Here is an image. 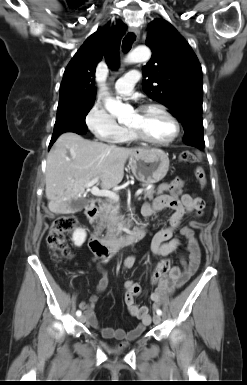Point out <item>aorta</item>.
<instances>
[{
    "instance_id": "obj_1",
    "label": "aorta",
    "mask_w": 247,
    "mask_h": 385,
    "mask_svg": "<svg viewBox=\"0 0 247 385\" xmlns=\"http://www.w3.org/2000/svg\"><path fill=\"white\" fill-rule=\"evenodd\" d=\"M151 57V51L148 47H137L126 58L128 63H137L148 61ZM105 108L112 115L123 118L126 114L131 112V107L113 98L105 100Z\"/></svg>"
}]
</instances>
